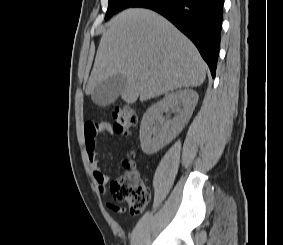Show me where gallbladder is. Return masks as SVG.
<instances>
[{"label":"gallbladder","instance_id":"obj_1","mask_svg":"<svg viewBox=\"0 0 283 245\" xmlns=\"http://www.w3.org/2000/svg\"><path fill=\"white\" fill-rule=\"evenodd\" d=\"M126 83V78L120 74L111 76L95 87L91 98L98 106H108L116 101Z\"/></svg>","mask_w":283,"mask_h":245}]
</instances>
